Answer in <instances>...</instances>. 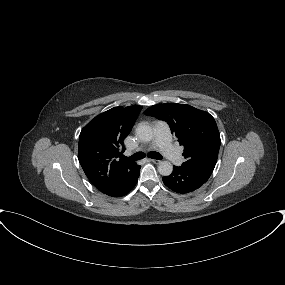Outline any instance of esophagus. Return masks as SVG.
Instances as JSON below:
<instances>
[{"instance_id":"obj_1","label":"esophagus","mask_w":285,"mask_h":285,"mask_svg":"<svg viewBox=\"0 0 285 285\" xmlns=\"http://www.w3.org/2000/svg\"><path fill=\"white\" fill-rule=\"evenodd\" d=\"M150 161L155 164H159L161 162L160 160H157V159H150Z\"/></svg>"}]
</instances>
